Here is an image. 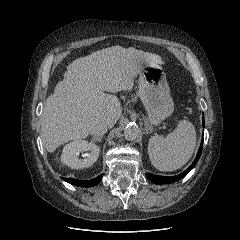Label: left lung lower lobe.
Masks as SVG:
<instances>
[{
	"instance_id": "0a47b994",
	"label": "left lung lower lobe",
	"mask_w": 240,
	"mask_h": 240,
	"mask_svg": "<svg viewBox=\"0 0 240 240\" xmlns=\"http://www.w3.org/2000/svg\"><path fill=\"white\" fill-rule=\"evenodd\" d=\"M203 127H204V120H203ZM202 146H203V140L201 142L200 148L198 150L197 156L194 160V162L190 165L189 168H187L184 172H182L179 175L176 176H155L153 174H146L147 178L155 184H169V183H173L176 182L180 179H182L183 177H185L191 170L192 168L195 166V164L197 163V161L199 160L201 153H202Z\"/></svg>"
}]
</instances>
